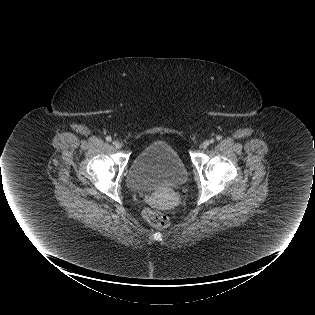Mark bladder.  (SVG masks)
I'll list each match as a JSON object with an SVG mask.
<instances>
[{"label": "bladder", "instance_id": "31cf9c89", "mask_svg": "<svg viewBox=\"0 0 315 315\" xmlns=\"http://www.w3.org/2000/svg\"><path fill=\"white\" fill-rule=\"evenodd\" d=\"M188 178L187 168L176 149L156 141L143 148L132 160L127 183L135 191L180 187Z\"/></svg>", "mask_w": 315, "mask_h": 315}]
</instances>
